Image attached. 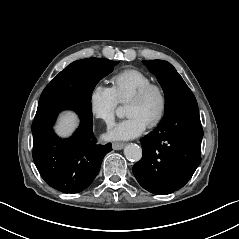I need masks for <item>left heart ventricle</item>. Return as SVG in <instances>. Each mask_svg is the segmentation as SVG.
<instances>
[{
  "mask_svg": "<svg viewBox=\"0 0 239 239\" xmlns=\"http://www.w3.org/2000/svg\"><path fill=\"white\" fill-rule=\"evenodd\" d=\"M161 100L157 92H151L140 102H130L126 105V114H136L141 117L147 125L156 117L160 110Z\"/></svg>",
  "mask_w": 239,
  "mask_h": 239,
  "instance_id": "b2bd125f",
  "label": "left heart ventricle"
}]
</instances>
